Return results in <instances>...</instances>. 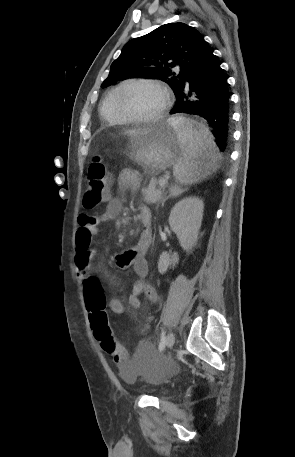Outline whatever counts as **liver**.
<instances>
[{
	"label": "liver",
	"instance_id": "liver-1",
	"mask_svg": "<svg viewBox=\"0 0 295 457\" xmlns=\"http://www.w3.org/2000/svg\"><path fill=\"white\" fill-rule=\"evenodd\" d=\"M150 130H152V128L131 129V130L125 131V134L130 136L131 139H132L134 137H137L138 135H142V134L148 133Z\"/></svg>",
	"mask_w": 295,
	"mask_h": 457
}]
</instances>
